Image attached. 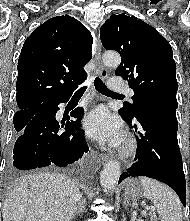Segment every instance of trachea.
<instances>
[{"mask_svg": "<svg viewBox=\"0 0 190 221\" xmlns=\"http://www.w3.org/2000/svg\"><path fill=\"white\" fill-rule=\"evenodd\" d=\"M94 86H95L96 90L98 92H100L101 94H104V95H117V93L109 90L99 77H96L94 79ZM86 88H87V86H82L81 88H79L75 92L74 95H76V96L83 95V93L85 92Z\"/></svg>", "mask_w": 190, "mask_h": 221, "instance_id": "obj_1", "label": "trachea"}]
</instances>
